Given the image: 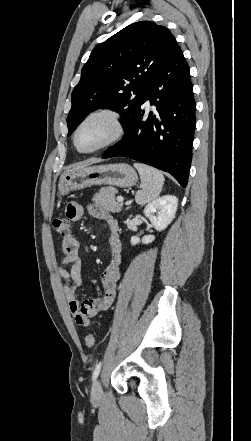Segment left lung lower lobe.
Masks as SVG:
<instances>
[{
	"instance_id": "left-lung-lower-lobe-1",
	"label": "left lung lower lobe",
	"mask_w": 251,
	"mask_h": 441,
	"mask_svg": "<svg viewBox=\"0 0 251 441\" xmlns=\"http://www.w3.org/2000/svg\"><path fill=\"white\" fill-rule=\"evenodd\" d=\"M149 100L156 112L144 117ZM196 104L189 66L177 45L146 86V97L123 138L102 158L128 157L170 173L186 187L192 158Z\"/></svg>"
}]
</instances>
